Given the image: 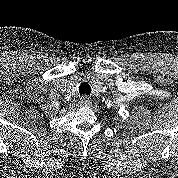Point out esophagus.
Instances as JSON below:
<instances>
[{
	"label": "esophagus",
	"mask_w": 178,
	"mask_h": 178,
	"mask_svg": "<svg viewBox=\"0 0 178 178\" xmlns=\"http://www.w3.org/2000/svg\"><path fill=\"white\" fill-rule=\"evenodd\" d=\"M80 104L82 106H89L91 104V100L88 96L84 95L80 98Z\"/></svg>",
	"instance_id": "obj_1"
}]
</instances>
